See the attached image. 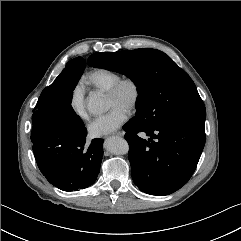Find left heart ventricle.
<instances>
[{
	"label": "left heart ventricle",
	"mask_w": 241,
	"mask_h": 241,
	"mask_svg": "<svg viewBox=\"0 0 241 241\" xmlns=\"http://www.w3.org/2000/svg\"><path fill=\"white\" fill-rule=\"evenodd\" d=\"M133 97V90L130 85H125L117 96L107 95V106L112 108L114 106H120L128 109Z\"/></svg>",
	"instance_id": "b2bd125f"
}]
</instances>
